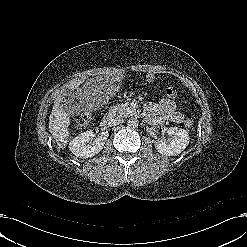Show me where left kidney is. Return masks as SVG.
I'll return each instance as SVG.
<instances>
[{"instance_id": "1", "label": "left kidney", "mask_w": 247, "mask_h": 247, "mask_svg": "<svg viewBox=\"0 0 247 247\" xmlns=\"http://www.w3.org/2000/svg\"><path fill=\"white\" fill-rule=\"evenodd\" d=\"M167 138H159L154 142L155 148L162 155L176 156L189 144L190 138L187 130L170 127L166 130Z\"/></svg>"}]
</instances>
